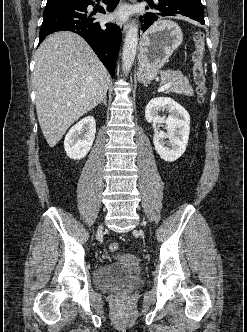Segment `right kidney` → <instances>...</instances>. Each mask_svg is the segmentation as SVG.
I'll return each instance as SVG.
<instances>
[{"label": "right kidney", "mask_w": 247, "mask_h": 332, "mask_svg": "<svg viewBox=\"0 0 247 332\" xmlns=\"http://www.w3.org/2000/svg\"><path fill=\"white\" fill-rule=\"evenodd\" d=\"M96 133L94 117L87 116L75 124L65 136L64 148L69 158L80 160L92 147Z\"/></svg>", "instance_id": "ca27d5eb"}]
</instances>
